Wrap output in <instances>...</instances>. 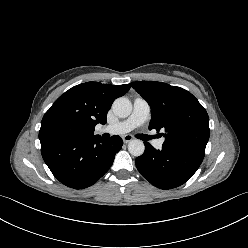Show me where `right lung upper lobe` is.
<instances>
[{
    "mask_svg": "<svg viewBox=\"0 0 248 248\" xmlns=\"http://www.w3.org/2000/svg\"><path fill=\"white\" fill-rule=\"evenodd\" d=\"M129 89L130 84L116 86L98 82L82 83L70 88L45 113L39 139L46 140L41 134L49 124L59 120L71 124L75 137L94 136L95 125L106 123L113 101Z\"/></svg>",
    "mask_w": 248,
    "mask_h": 248,
    "instance_id": "cb5924a9",
    "label": "right lung upper lobe"
}]
</instances>
